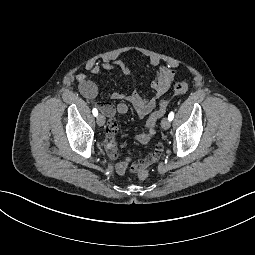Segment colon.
Returning a JSON list of instances; mask_svg holds the SVG:
<instances>
[{
	"label": "colon",
	"instance_id": "1",
	"mask_svg": "<svg viewBox=\"0 0 255 255\" xmlns=\"http://www.w3.org/2000/svg\"><path fill=\"white\" fill-rule=\"evenodd\" d=\"M189 85L186 82H178L174 85V96H179L188 91ZM169 99H164L160 102L159 107L150 115L146 122V129L152 130L155 129V126L157 124V121L165 114L168 104H169ZM149 176V172L147 168H142L137 172V177L139 180H145Z\"/></svg>",
	"mask_w": 255,
	"mask_h": 255
}]
</instances>
